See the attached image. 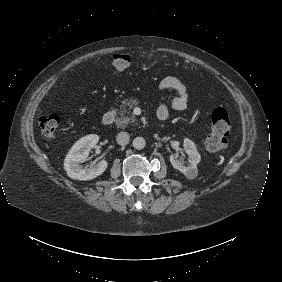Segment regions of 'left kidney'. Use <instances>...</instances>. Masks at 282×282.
Listing matches in <instances>:
<instances>
[{"label": "left kidney", "mask_w": 282, "mask_h": 282, "mask_svg": "<svg viewBox=\"0 0 282 282\" xmlns=\"http://www.w3.org/2000/svg\"><path fill=\"white\" fill-rule=\"evenodd\" d=\"M183 147L189 159V165L185 166L183 161L178 159L177 154L170 155V162L175 169L182 172L188 179H195L198 175L197 164L201 161V156L197 151L195 143L189 138H184Z\"/></svg>", "instance_id": "left-kidney-1"}]
</instances>
